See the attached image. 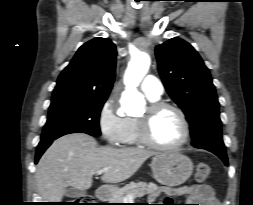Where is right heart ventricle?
Here are the masks:
<instances>
[{"instance_id":"right-heart-ventricle-1","label":"right heart ventricle","mask_w":253,"mask_h":205,"mask_svg":"<svg viewBox=\"0 0 253 205\" xmlns=\"http://www.w3.org/2000/svg\"><path fill=\"white\" fill-rule=\"evenodd\" d=\"M153 103L159 101L160 98H153L147 96ZM127 126L123 143L127 146H139L143 143L139 138L137 118H126Z\"/></svg>"}]
</instances>
